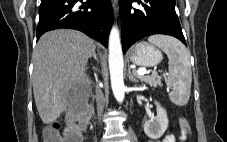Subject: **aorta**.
I'll list each match as a JSON object with an SVG mask.
<instances>
[{
	"instance_id": "obj_1",
	"label": "aorta",
	"mask_w": 227,
	"mask_h": 142,
	"mask_svg": "<svg viewBox=\"0 0 227 142\" xmlns=\"http://www.w3.org/2000/svg\"><path fill=\"white\" fill-rule=\"evenodd\" d=\"M109 71L111 87L116 100L120 103L124 100L125 85L123 80V53L120 42V34L117 27L111 29L109 35Z\"/></svg>"
}]
</instances>
